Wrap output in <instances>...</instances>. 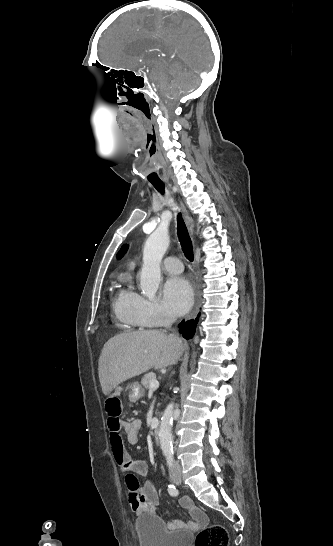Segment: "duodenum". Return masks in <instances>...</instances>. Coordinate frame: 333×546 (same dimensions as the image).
<instances>
[{
	"label": "duodenum",
	"mask_w": 333,
	"mask_h": 546,
	"mask_svg": "<svg viewBox=\"0 0 333 546\" xmlns=\"http://www.w3.org/2000/svg\"><path fill=\"white\" fill-rule=\"evenodd\" d=\"M153 439L156 443L160 442V427L158 425L153 428Z\"/></svg>",
	"instance_id": "1"
}]
</instances>
